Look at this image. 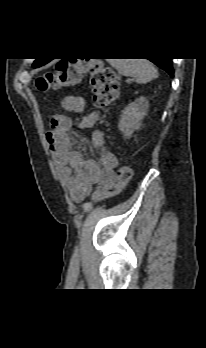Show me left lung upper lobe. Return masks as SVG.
Instances as JSON below:
<instances>
[{
    "instance_id": "obj_1",
    "label": "left lung upper lobe",
    "mask_w": 206,
    "mask_h": 348,
    "mask_svg": "<svg viewBox=\"0 0 206 348\" xmlns=\"http://www.w3.org/2000/svg\"><path fill=\"white\" fill-rule=\"evenodd\" d=\"M48 61L46 60H43V59H36L35 62L33 63V67L36 68V67H40L44 64H46Z\"/></svg>"
}]
</instances>
